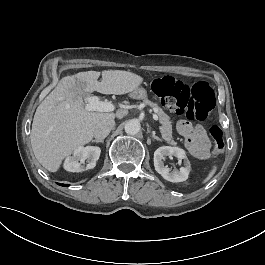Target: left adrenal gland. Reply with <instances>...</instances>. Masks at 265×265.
<instances>
[{
    "mask_svg": "<svg viewBox=\"0 0 265 265\" xmlns=\"http://www.w3.org/2000/svg\"><path fill=\"white\" fill-rule=\"evenodd\" d=\"M152 137L158 141H162V139L155 135V131H152Z\"/></svg>",
    "mask_w": 265,
    "mask_h": 265,
    "instance_id": "obj_1",
    "label": "left adrenal gland"
}]
</instances>
